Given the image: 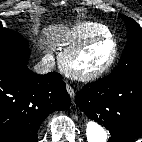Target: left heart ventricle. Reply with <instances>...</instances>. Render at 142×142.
Wrapping results in <instances>:
<instances>
[{
    "label": "left heart ventricle",
    "mask_w": 142,
    "mask_h": 142,
    "mask_svg": "<svg viewBox=\"0 0 142 142\" xmlns=\"http://www.w3.org/2000/svg\"><path fill=\"white\" fill-rule=\"evenodd\" d=\"M113 44L110 41H101L88 48L74 65L81 70H93L102 66L111 56Z\"/></svg>",
    "instance_id": "obj_1"
}]
</instances>
